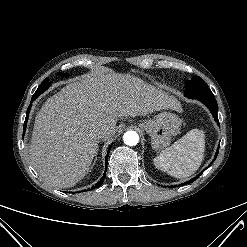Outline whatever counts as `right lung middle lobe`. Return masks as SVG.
Listing matches in <instances>:
<instances>
[{
	"instance_id": "dd1d6c3e",
	"label": "right lung middle lobe",
	"mask_w": 247,
	"mask_h": 247,
	"mask_svg": "<svg viewBox=\"0 0 247 247\" xmlns=\"http://www.w3.org/2000/svg\"><path fill=\"white\" fill-rule=\"evenodd\" d=\"M60 74V73H58ZM61 76H65L64 73L60 74ZM49 87V79L46 78L42 84L38 87V89L36 90V92L34 93L35 96H39L41 95L47 88Z\"/></svg>"
}]
</instances>
